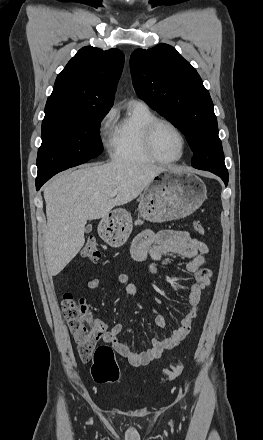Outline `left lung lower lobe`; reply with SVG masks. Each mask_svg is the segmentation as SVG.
Returning <instances> with one entry per match:
<instances>
[{
    "instance_id": "obj_1",
    "label": "left lung lower lobe",
    "mask_w": 263,
    "mask_h": 440,
    "mask_svg": "<svg viewBox=\"0 0 263 440\" xmlns=\"http://www.w3.org/2000/svg\"><path fill=\"white\" fill-rule=\"evenodd\" d=\"M210 172L218 175L224 181L225 185L228 184V172H219V171H214V170H212Z\"/></svg>"
}]
</instances>
